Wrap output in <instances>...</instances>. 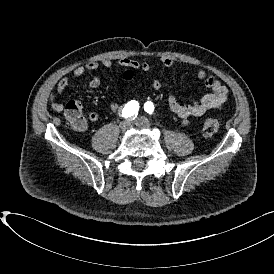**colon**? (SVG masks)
<instances>
[{
  "mask_svg": "<svg viewBox=\"0 0 274 274\" xmlns=\"http://www.w3.org/2000/svg\"><path fill=\"white\" fill-rule=\"evenodd\" d=\"M126 78L133 79L135 72L129 70L125 73ZM64 113L71 127L75 130H82L85 125V118L81 113V105L77 101H68L64 106ZM220 130V121L217 118H208L203 123L202 131L205 135H213Z\"/></svg>",
  "mask_w": 274,
  "mask_h": 274,
  "instance_id": "colon-1",
  "label": "colon"
}]
</instances>
